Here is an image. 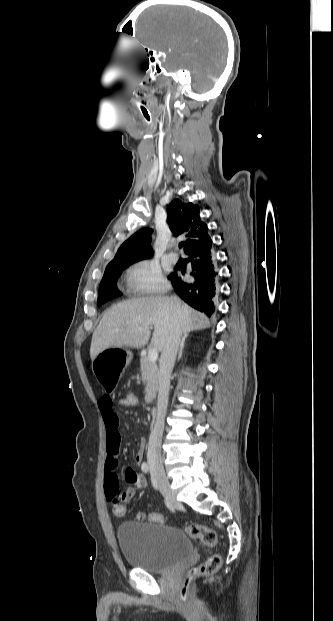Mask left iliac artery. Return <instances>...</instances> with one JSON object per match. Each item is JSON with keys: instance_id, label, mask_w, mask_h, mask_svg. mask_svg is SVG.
<instances>
[{"instance_id": "1", "label": "left iliac artery", "mask_w": 333, "mask_h": 621, "mask_svg": "<svg viewBox=\"0 0 333 621\" xmlns=\"http://www.w3.org/2000/svg\"><path fill=\"white\" fill-rule=\"evenodd\" d=\"M153 483H154V486H155V484H156L155 480H153Z\"/></svg>"}]
</instances>
